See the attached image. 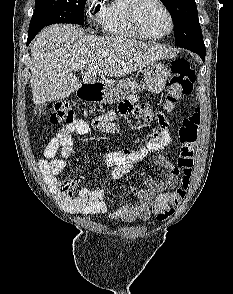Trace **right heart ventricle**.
<instances>
[{"instance_id": "obj_1", "label": "right heart ventricle", "mask_w": 233, "mask_h": 294, "mask_svg": "<svg viewBox=\"0 0 233 294\" xmlns=\"http://www.w3.org/2000/svg\"><path fill=\"white\" fill-rule=\"evenodd\" d=\"M129 4L130 0H111L101 8L97 21L105 34L125 39L143 38L129 22Z\"/></svg>"}]
</instances>
